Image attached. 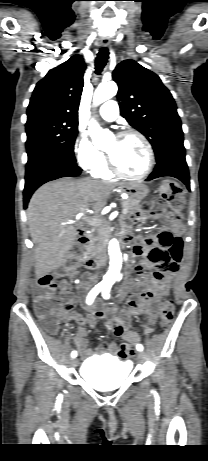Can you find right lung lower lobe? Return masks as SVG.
Wrapping results in <instances>:
<instances>
[{
  "instance_id": "98d812e1",
  "label": "right lung lower lobe",
  "mask_w": 208,
  "mask_h": 461,
  "mask_svg": "<svg viewBox=\"0 0 208 461\" xmlns=\"http://www.w3.org/2000/svg\"><path fill=\"white\" fill-rule=\"evenodd\" d=\"M82 169L76 162L58 154H46L26 165L23 192L24 209L33 192L42 184L61 177L78 176Z\"/></svg>"
}]
</instances>
